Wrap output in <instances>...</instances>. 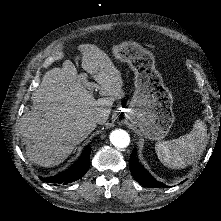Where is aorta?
<instances>
[{"label":"aorta","mask_w":221,"mask_h":221,"mask_svg":"<svg viewBox=\"0 0 221 221\" xmlns=\"http://www.w3.org/2000/svg\"><path fill=\"white\" fill-rule=\"evenodd\" d=\"M110 142L116 148H126L130 143V136L125 130L116 129L110 133Z\"/></svg>","instance_id":"1"}]
</instances>
